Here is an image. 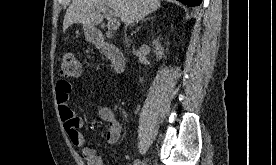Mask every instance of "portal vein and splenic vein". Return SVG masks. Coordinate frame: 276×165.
<instances>
[{
  "label": "portal vein and splenic vein",
  "instance_id": "portal-vein-and-splenic-vein-1",
  "mask_svg": "<svg viewBox=\"0 0 276 165\" xmlns=\"http://www.w3.org/2000/svg\"><path fill=\"white\" fill-rule=\"evenodd\" d=\"M102 13L106 16L108 20L107 26L109 30H116L120 26V22L116 18H112L111 11H109L108 9H103Z\"/></svg>",
  "mask_w": 276,
  "mask_h": 165
}]
</instances>
